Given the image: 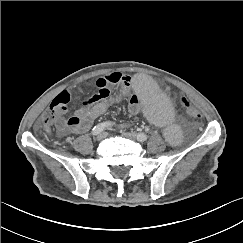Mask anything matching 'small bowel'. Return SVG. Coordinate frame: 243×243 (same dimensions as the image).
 I'll use <instances>...</instances> for the list:
<instances>
[{
	"instance_id": "obj_1",
	"label": "small bowel",
	"mask_w": 243,
	"mask_h": 243,
	"mask_svg": "<svg viewBox=\"0 0 243 243\" xmlns=\"http://www.w3.org/2000/svg\"><path fill=\"white\" fill-rule=\"evenodd\" d=\"M132 79L128 75L111 73L96 80L97 92L89 99L85 100L70 118L62 117L66 111L61 112L56 117V128L61 135L69 133L82 134L89 130L92 123L107 110L119 103L127 96ZM112 88H117L118 93L112 95ZM84 87H79L78 92H83ZM140 105L132 96L129 112L133 115L138 114Z\"/></svg>"
}]
</instances>
